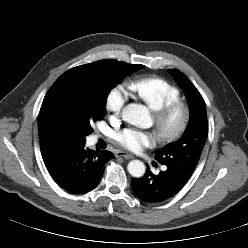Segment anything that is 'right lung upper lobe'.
<instances>
[{
  "mask_svg": "<svg viewBox=\"0 0 248 248\" xmlns=\"http://www.w3.org/2000/svg\"><path fill=\"white\" fill-rule=\"evenodd\" d=\"M38 132L43 158H47L67 146L76 144L63 132L46 125L40 119H38Z\"/></svg>",
  "mask_w": 248,
  "mask_h": 248,
  "instance_id": "1",
  "label": "right lung upper lobe"
}]
</instances>
